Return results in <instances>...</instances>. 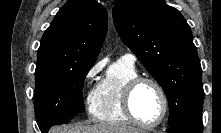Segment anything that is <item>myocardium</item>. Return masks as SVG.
Wrapping results in <instances>:
<instances>
[{
    "label": "myocardium",
    "mask_w": 221,
    "mask_h": 133,
    "mask_svg": "<svg viewBox=\"0 0 221 133\" xmlns=\"http://www.w3.org/2000/svg\"><path fill=\"white\" fill-rule=\"evenodd\" d=\"M143 83H149L153 85L159 92L161 101H162L161 115L156 121L151 122V123H146V122L139 120L137 116L135 115L133 111V107H132V99H133L134 92ZM122 106H123L125 115L128 117V119L131 122L143 128H153V127L160 125L165 119L168 113V109H169V102H168V97H167L165 89L156 79L151 78V77L137 76L131 79L125 85L123 89V95H122Z\"/></svg>",
    "instance_id": "f54148a6"
}]
</instances>
